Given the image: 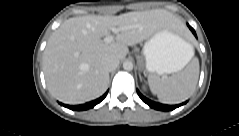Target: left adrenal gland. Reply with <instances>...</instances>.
Wrapping results in <instances>:
<instances>
[{
	"instance_id": "1",
	"label": "left adrenal gland",
	"mask_w": 239,
	"mask_h": 136,
	"mask_svg": "<svg viewBox=\"0 0 239 136\" xmlns=\"http://www.w3.org/2000/svg\"><path fill=\"white\" fill-rule=\"evenodd\" d=\"M139 78H140V80H142L141 73H139Z\"/></svg>"
}]
</instances>
